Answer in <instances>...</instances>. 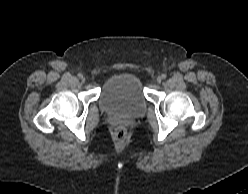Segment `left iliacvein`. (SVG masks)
Wrapping results in <instances>:
<instances>
[{"instance_id":"4c4485c4","label":"left iliac vein","mask_w":248,"mask_h":194,"mask_svg":"<svg viewBox=\"0 0 248 194\" xmlns=\"http://www.w3.org/2000/svg\"><path fill=\"white\" fill-rule=\"evenodd\" d=\"M156 81H157V83H161L162 78L161 77H158Z\"/></svg>"}]
</instances>
